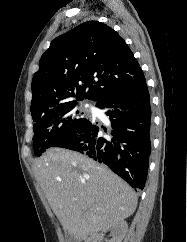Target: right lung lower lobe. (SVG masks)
Listing matches in <instances>:
<instances>
[{
	"mask_svg": "<svg viewBox=\"0 0 187 242\" xmlns=\"http://www.w3.org/2000/svg\"><path fill=\"white\" fill-rule=\"evenodd\" d=\"M96 106L105 109L110 117L112 128L107 135H101L97 123L87 119L52 147L78 151L106 164L131 187L142 190L151 153V106L146 80L102 98Z\"/></svg>",
	"mask_w": 187,
	"mask_h": 242,
	"instance_id": "98d812e1",
	"label": "right lung lower lobe"
}]
</instances>
